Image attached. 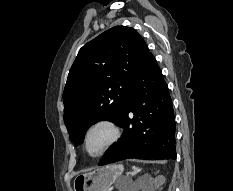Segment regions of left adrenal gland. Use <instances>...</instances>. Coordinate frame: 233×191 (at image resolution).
<instances>
[{
	"label": "left adrenal gland",
	"mask_w": 233,
	"mask_h": 191,
	"mask_svg": "<svg viewBox=\"0 0 233 191\" xmlns=\"http://www.w3.org/2000/svg\"><path fill=\"white\" fill-rule=\"evenodd\" d=\"M139 171H140V169L134 167V168H133V173H132V174H136V173H138Z\"/></svg>",
	"instance_id": "left-adrenal-gland-1"
}]
</instances>
